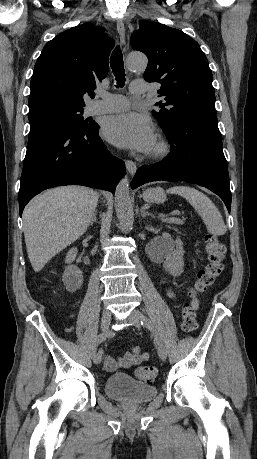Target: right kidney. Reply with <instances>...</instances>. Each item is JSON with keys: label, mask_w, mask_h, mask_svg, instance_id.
Listing matches in <instances>:
<instances>
[{"label": "right kidney", "mask_w": 257, "mask_h": 459, "mask_svg": "<svg viewBox=\"0 0 257 459\" xmlns=\"http://www.w3.org/2000/svg\"><path fill=\"white\" fill-rule=\"evenodd\" d=\"M76 256L77 248H72L68 251L65 262L69 264V266L65 268V271L62 276V281L66 287V290L71 293L77 291L81 287L83 282V276L80 269L71 265V263L75 260Z\"/></svg>", "instance_id": "1"}]
</instances>
